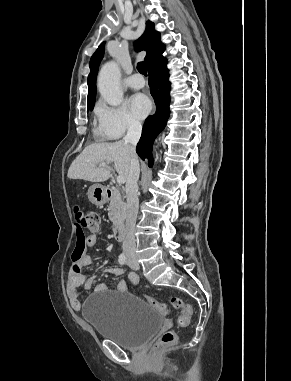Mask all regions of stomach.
<instances>
[{
  "label": "stomach",
  "instance_id": "1",
  "mask_svg": "<svg viewBox=\"0 0 291 381\" xmlns=\"http://www.w3.org/2000/svg\"><path fill=\"white\" fill-rule=\"evenodd\" d=\"M89 201L95 205H103L107 201V197L104 188L100 185H92L88 189Z\"/></svg>",
  "mask_w": 291,
  "mask_h": 381
}]
</instances>
